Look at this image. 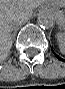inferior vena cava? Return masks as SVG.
Instances as JSON below:
<instances>
[{
    "mask_svg": "<svg viewBox=\"0 0 65 89\" xmlns=\"http://www.w3.org/2000/svg\"><path fill=\"white\" fill-rule=\"evenodd\" d=\"M26 19H27V18H22V19H20V20L16 21V22L14 23V26H15V25H17L18 23H20V22H22V21L26 20Z\"/></svg>",
    "mask_w": 65,
    "mask_h": 89,
    "instance_id": "602c4592",
    "label": "inferior vena cava"
}]
</instances>
